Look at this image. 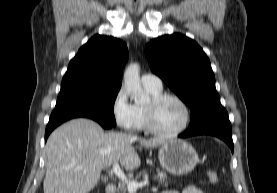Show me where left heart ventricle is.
<instances>
[{
    "mask_svg": "<svg viewBox=\"0 0 277 193\" xmlns=\"http://www.w3.org/2000/svg\"><path fill=\"white\" fill-rule=\"evenodd\" d=\"M156 124L163 131H174L182 126L185 112L173 99H166L158 105L155 112Z\"/></svg>",
    "mask_w": 277,
    "mask_h": 193,
    "instance_id": "b2bd125f",
    "label": "left heart ventricle"
}]
</instances>
